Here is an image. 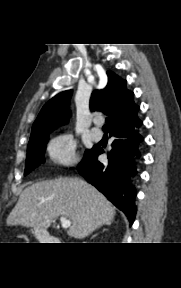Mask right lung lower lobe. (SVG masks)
Returning <instances> with one entry per match:
<instances>
[{
    "label": "right lung lower lobe",
    "mask_w": 181,
    "mask_h": 288,
    "mask_svg": "<svg viewBox=\"0 0 181 288\" xmlns=\"http://www.w3.org/2000/svg\"><path fill=\"white\" fill-rule=\"evenodd\" d=\"M141 125L142 121L134 127L111 132L114 140L107 163L97 160L98 155L103 153L102 148L93 147L78 166L80 174L123 211L130 225L137 212L133 180L137 175L136 160L141 156L138 146L143 141L136 128Z\"/></svg>",
    "instance_id": "obj_1"
}]
</instances>
